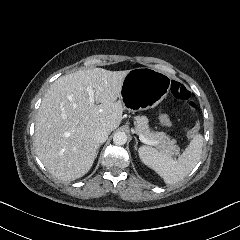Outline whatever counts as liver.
<instances>
[{
	"label": "liver",
	"instance_id": "6515ba94",
	"mask_svg": "<svg viewBox=\"0 0 240 240\" xmlns=\"http://www.w3.org/2000/svg\"><path fill=\"white\" fill-rule=\"evenodd\" d=\"M128 72L77 70L50 85L36 115L34 145L54 177L72 181L90 169L99 147L96 131H112L120 124L122 104L117 97ZM88 85L96 104L89 100Z\"/></svg>",
	"mask_w": 240,
	"mask_h": 240
}]
</instances>
